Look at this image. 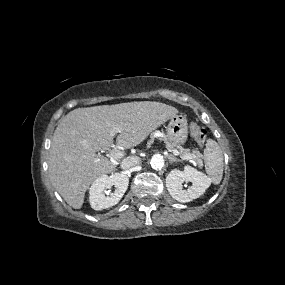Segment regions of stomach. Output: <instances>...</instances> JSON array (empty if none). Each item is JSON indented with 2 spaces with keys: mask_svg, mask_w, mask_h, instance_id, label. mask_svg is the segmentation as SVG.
I'll list each match as a JSON object with an SVG mask.
<instances>
[{
  "mask_svg": "<svg viewBox=\"0 0 285 285\" xmlns=\"http://www.w3.org/2000/svg\"><path fill=\"white\" fill-rule=\"evenodd\" d=\"M188 137L187 120L182 115L173 116L167 126V141L178 146L186 142Z\"/></svg>",
  "mask_w": 285,
  "mask_h": 285,
  "instance_id": "0dacf381",
  "label": "stomach"
}]
</instances>
